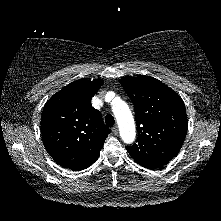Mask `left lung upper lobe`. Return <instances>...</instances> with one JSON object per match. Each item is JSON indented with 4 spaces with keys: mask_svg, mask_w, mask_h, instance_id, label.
Returning a JSON list of instances; mask_svg holds the SVG:
<instances>
[{
    "mask_svg": "<svg viewBox=\"0 0 221 221\" xmlns=\"http://www.w3.org/2000/svg\"><path fill=\"white\" fill-rule=\"evenodd\" d=\"M135 108L138 139L126 147L142 165L161 166L181 149L187 132L182 98L159 80L145 75L120 79Z\"/></svg>",
    "mask_w": 221,
    "mask_h": 221,
    "instance_id": "left-lung-upper-lobe-1",
    "label": "left lung upper lobe"
}]
</instances>
